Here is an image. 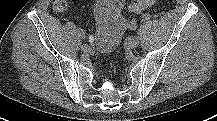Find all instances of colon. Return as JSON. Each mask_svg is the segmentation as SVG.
<instances>
[{
  "label": "colon",
  "mask_w": 217,
  "mask_h": 121,
  "mask_svg": "<svg viewBox=\"0 0 217 121\" xmlns=\"http://www.w3.org/2000/svg\"><path fill=\"white\" fill-rule=\"evenodd\" d=\"M79 0H53V9L58 12H64L69 10L73 5H75Z\"/></svg>",
  "instance_id": "5ec220e1"
}]
</instances>
